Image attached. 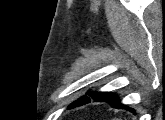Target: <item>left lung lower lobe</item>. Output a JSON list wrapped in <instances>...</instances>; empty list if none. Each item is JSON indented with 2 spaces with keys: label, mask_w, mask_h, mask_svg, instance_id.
Returning a JSON list of instances; mask_svg holds the SVG:
<instances>
[{
  "label": "left lung lower lobe",
  "mask_w": 165,
  "mask_h": 120,
  "mask_svg": "<svg viewBox=\"0 0 165 120\" xmlns=\"http://www.w3.org/2000/svg\"><path fill=\"white\" fill-rule=\"evenodd\" d=\"M95 101H97V100H95ZM98 102H108L113 108L126 109V110H129V111L135 113V110L130 109L126 105H123L122 103H120L118 96L115 94H112L109 97H107L106 99H104L103 101H98ZM69 108H71V107H69Z\"/></svg>",
  "instance_id": "1"
}]
</instances>
